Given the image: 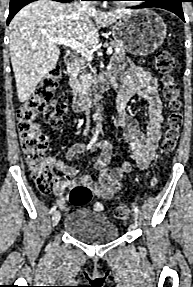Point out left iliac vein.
I'll return each instance as SVG.
<instances>
[{
    "mask_svg": "<svg viewBox=\"0 0 193 287\" xmlns=\"http://www.w3.org/2000/svg\"><path fill=\"white\" fill-rule=\"evenodd\" d=\"M133 217H134V219H135V221H136V223L138 222V214L137 213H133Z\"/></svg>",
    "mask_w": 193,
    "mask_h": 287,
    "instance_id": "obj_1",
    "label": "left iliac vein"
}]
</instances>
